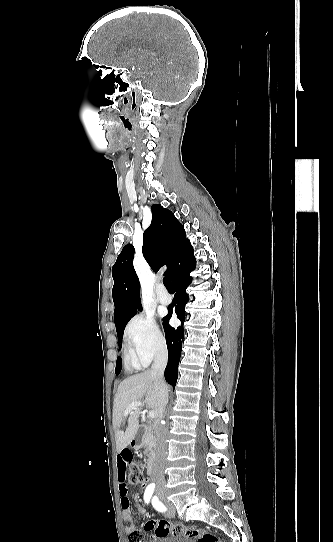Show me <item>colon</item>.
Segmentation results:
<instances>
[{
    "instance_id": "colon-1",
    "label": "colon",
    "mask_w": 333,
    "mask_h": 542,
    "mask_svg": "<svg viewBox=\"0 0 333 542\" xmlns=\"http://www.w3.org/2000/svg\"><path fill=\"white\" fill-rule=\"evenodd\" d=\"M130 452L132 450L130 449ZM131 469H129V481L132 485H139L144 483L146 476L144 468L134 462ZM146 529L154 532V536L161 539L168 535L175 537H183L189 542H230L228 536H218L211 531L202 530L198 527H188L183 524H173L165 519L159 521H148L145 524ZM129 542H147V538L143 537L139 531H132L130 533Z\"/></svg>"
}]
</instances>
